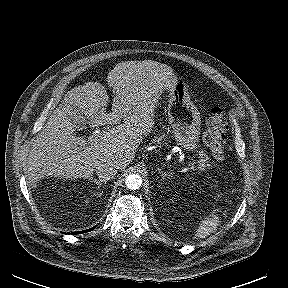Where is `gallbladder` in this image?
<instances>
[{"label":"gallbladder","instance_id":"1","mask_svg":"<svg viewBox=\"0 0 288 288\" xmlns=\"http://www.w3.org/2000/svg\"><path fill=\"white\" fill-rule=\"evenodd\" d=\"M62 107H66V105L63 103ZM67 114L70 117V119L73 121V124L76 128H83L85 126L86 124L85 117L76 108L69 109Z\"/></svg>","mask_w":288,"mask_h":288}]
</instances>
